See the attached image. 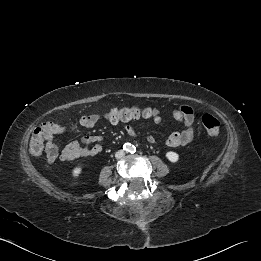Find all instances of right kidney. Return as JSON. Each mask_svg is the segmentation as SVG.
<instances>
[{"instance_id": "obj_1", "label": "right kidney", "mask_w": 261, "mask_h": 261, "mask_svg": "<svg viewBox=\"0 0 261 261\" xmlns=\"http://www.w3.org/2000/svg\"><path fill=\"white\" fill-rule=\"evenodd\" d=\"M81 172H82V168L78 166L72 170V175L73 177L77 178L81 174Z\"/></svg>"}]
</instances>
